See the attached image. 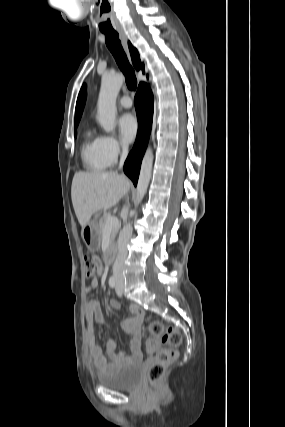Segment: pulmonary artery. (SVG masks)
Returning a JSON list of instances; mask_svg holds the SVG:
<instances>
[{"label": "pulmonary artery", "instance_id": "e3ab8cb5", "mask_svg": "<svg viewBox=\"0 0 285 427\" xmlns=\"http://www.w3.org/2000/svg\"><path fill=\"white\" fill-rule=\"evenodd\" d=\"M132 100L129 96H123L120 100H119V105L123 108H130L132 106Z\"/></svg>", "mask_w": 285, "mask_h": 427}]
</instances>
